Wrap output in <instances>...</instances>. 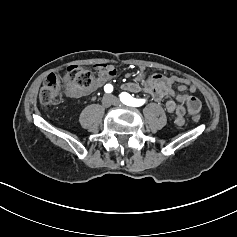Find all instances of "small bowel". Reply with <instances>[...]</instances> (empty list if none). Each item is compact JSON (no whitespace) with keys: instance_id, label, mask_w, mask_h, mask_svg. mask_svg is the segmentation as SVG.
I'll return each mask as SVG.
<instances>
[{"instance_id":"1","label":"small bowel","mask_w":237,"mask_h":237,"mask_svg":"<svg viewBox=\"0 0 237 237\" xmlns=\"http://www.w3.org/2000/svg\"><path fill=\"white\" fill-rule=\"evenodd\" d=\"M95 68L97 76L90 87L75 89L66 84L64 87L66 96L74 99L87 96L114 79L118 74L117 68L112 65L98 64ZM176 83L180 84L177 89L174 88ZM123 88L130 92L145 93L156 102L169 97L165 102V109L168 113L174 114L177 125H182L186 115L198 112L201 107L200 100L196 96L185 93L187 91L195 92L197 87L186 78L178 76L149 74L142 69L134 78L125 82Z\"/></svg>"}]
</instances>
